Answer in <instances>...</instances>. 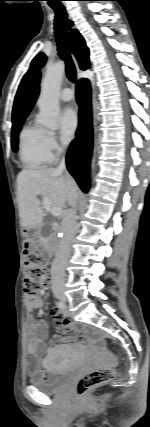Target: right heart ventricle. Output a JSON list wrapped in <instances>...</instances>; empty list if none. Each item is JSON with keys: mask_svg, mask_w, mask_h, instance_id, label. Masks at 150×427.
<instances>
[{"mask_svg": "<svg viewBox=\"0 0 150 427\" xmlns=\"http://www.w3.org/2000/svg\"><path fill=\"white\" fill-rule=\"evenodd\" d=\"M46 130L28 122L19 132L18 156L27 169H40L52 160L45 146Z\"/></svg>", "mask_w": 150, "mask_h": 427, "instance_id": "1", "label": "right heart ventricle"}]
</instances>
